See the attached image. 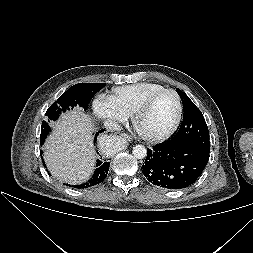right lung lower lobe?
Here are the masks:
<instances>
[{"label": "right lung lower lobe", "instance_id": "1", "mask_svg": "<svg viewBox=\"0 0 253 253\" xmlns=\"http://www.w3.org/2000/svg\"><path fill=\"white\" fill-rule=\"evenodd\" d=\"M103 131H105V130L102 129L95 134V142H96L97 136ZM41 144H42V142H41ZM41 154H42V151H41ZM108 160H110V159H104V158L103 159L101 158V160L98 159L97 163H96V170H95L94 174L92 175V177L86 183H83L81 185H76L74 187L87 188V187H91V186L101 183L106 178V176L108 174L109 164H110ZM44 166H45V164H44Z\"/></svg>", "mask_w": 253, "mask_h": 253}]
</instances>
